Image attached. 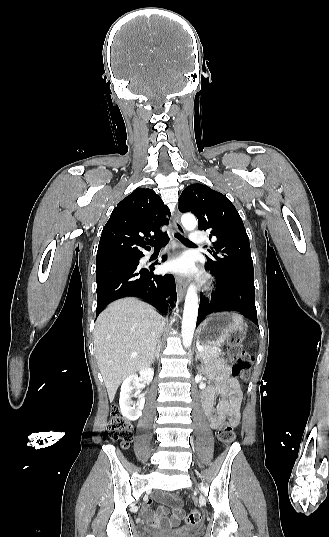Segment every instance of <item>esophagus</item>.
<instances>
[{
    "label": "esophagus",
    "mask_w": 329,
    "mask_h": 537,
    "mask_svg": "<svg viewBox=\"0 0 329 537\" xmlns=\"http://www.w3.org/2000/svg\"><path fill=\"white\" fill-rule=\"evenodd\" d=\"M173 223H174L176 232L182 234L184 232V228L180 222V211L178 210V208L175 210ZM176 282L179 288L180 296L183 297L186 292V286H187L186 281L183 277L177 276Z\"/></svg>",
    "instance_id": "1"
}]
</instances>
